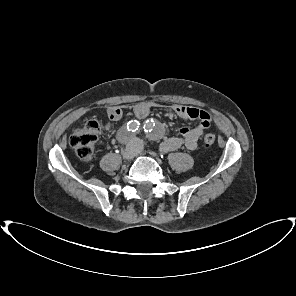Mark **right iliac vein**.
Returning a JSON list of instances; mask_svg holds the SVG:
<instances>
[{
	"label": "right iliac vein",
	"instance_id": "right-iliac-vein-1",
	"mask_svg": "<svg viewBox=\"0 0 296 296\" xmlns=\"http://www.w3.org/2000/svg\"><path fill=\"white\" fill-rule=\"evenodd\" d=\"M136 153V144L133 141H131L127 144L126 148L123 151V158L125 160H131L136 156Z\"/></svg>",
	"mask_w": 296,
	"mask_h": 296
}]
</instances>
